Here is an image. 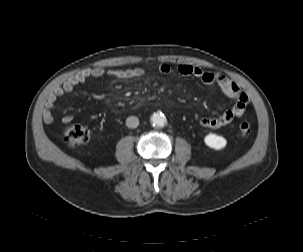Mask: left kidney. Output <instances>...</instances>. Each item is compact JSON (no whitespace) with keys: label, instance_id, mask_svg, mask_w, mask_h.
Returning <instances> with one entry per match:
<instances>
[{"label":"left kidney","instance_id":"obj_1","mask_svg":"<svg viewBox=\"0 0 303 252\" xmlns=\"http://www.w3.org/2000/svg\"><path fill=\"white\" fill-rule=\"evenodd\" d=\"M205 144L213 149L219 150L226 146L227 141L224 137L210 133L204 138Z\"/></svg>","mask_w":303,"mask_h":252}]
</instances>
